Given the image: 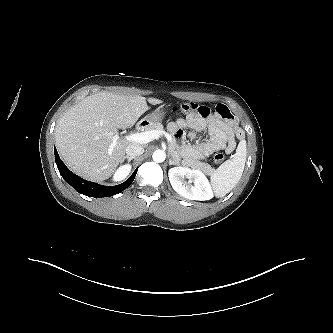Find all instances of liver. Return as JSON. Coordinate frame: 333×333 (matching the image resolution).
Returning a JSON list of instances; mask_svg holds the SVG:
<instances>
[{"label":"liver","instance_id":"obj_1","mask_svg":"<svg viewBox=\"0 0 333 333\" xmlns=\"http://www.w3.org/2000/svg\"><path fill=\"white\" fill-rule=\"evenodd\" d=\"M152 105L160 99H147ZM149 109L146 98L139 95L100 92L84 98L58 121L55 141L66 165L79 176L100 182L109 178L124 161L130 144L117 140L111 149L112 137L118 129L132 127Z\"/></svg>","mask_w":333,"mask_h":333}]
</instances>
